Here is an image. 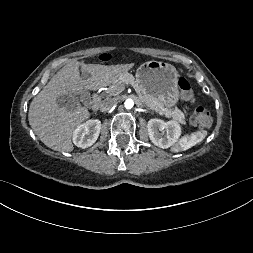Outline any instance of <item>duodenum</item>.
Here are the masks:
<instances>
[{
  "label": "duodenum",
  "mask_w": 253,
  "mask_h": 253,
  "mask_svg": "<svg viewBox=\"0 0 253 253\" xmlns=\"http://www.w3.org/2000/svg\"><path fill=\"white\" fill-rule=\"evenodd\" d=\"M98 105H99V96H98V94H94L92 97L91 107L97 108Z\"/></svg>",
  "instance_id": "duodenum-1"
}]
</instances>
